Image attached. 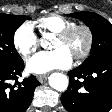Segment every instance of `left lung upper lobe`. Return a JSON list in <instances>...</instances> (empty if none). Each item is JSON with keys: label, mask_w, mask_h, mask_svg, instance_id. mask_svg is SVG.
<instances>
[{"label": "left lung upper lobe", "mask_w": 112, "mask_h": 112, "mask_svg": "<svg viewBox=\"0 0 112 112\" xmlns=\"http://www.w3.org/2000/svg\"><path fill=\"white\" fill-rule=\"evenodd\" d=\"M69 16L83 21L93 35L91 55L80 65L89 67L95 62L112 58V24L96 13L79 12Z\"/></svg>", "instance_id": "obj_1"}]
</instances>
